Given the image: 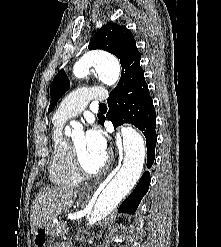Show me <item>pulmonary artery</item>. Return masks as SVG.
Instances as JSON below:
<instances>
[{
	"instance_id": "e3ab8cb5",
	"label": "pulmonary artery",
	"mask_w": 221,
	"mask_h": 247,
	"mask_svg": "<svg viewBox=\"0 0 221 247\" xmlns=\"http://www.w3.org/2000/svg\"><path fill=\"white\" fill-rule=\"evenodd\" d=\"M107 97V91L99 88H78L63 99L55 112L54 120L64 123L80 114L91 100H104Z\"/></svg>"
}]
</instances>
